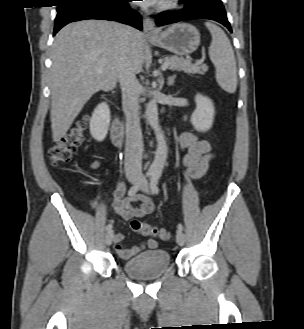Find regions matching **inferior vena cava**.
<instances>
[{"mask_svg":"<svg viewBox=\"0 0 304 329\" xmlns=\"http://www.w3.org/2000/svg\"><path fill=\"white\" fill-rule=\"evenodd\" d=\"M122 54L118 65V80L122 90V107L126 116L125 172L129 179L142 177V132L138 112L140 84L130 57L131 27L120 29Z\"/></svg>","mask_w":304,"mask_h":329,"instance_id":"1","label":"inferior vena cava"}]
</instances>
